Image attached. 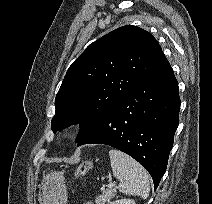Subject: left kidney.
Returning <instances> with one entry per match:
<instances>
[{"label": "left kidney", "instance_id": "5707ae66", "mask_svg": "<svg viewBox=\"0 0 212 204\" xmlns=\"http://www.w3.org/2000/svg\"><path fill=\"white\" fill-rule=\"evenodd\" d=\"M110 204H135V201L133 199H120L113 201Z\"/></svg>", "mask_w": 212, "mask_h": 204}]
</instances>
